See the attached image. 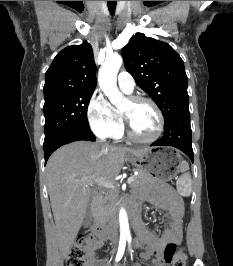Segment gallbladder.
<instances>
[{
    "instance_id": "gallbladder-1",
    "label": "gallbladder",
    "mask_w": 233,
    "mask_h": 266,
    "mask_svg": "<svg viewBox=\"0 0 233 266\" xmlns=\"http://www.w3.org/2000/svg\"><path fill=\"white\" fill-rule=\"evenodd\" d=\"M91 212L90 210L88 209L86 214H85V218H84V226L85 227H88L91 223Z\"/></svg>"
}]
</instances>
